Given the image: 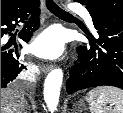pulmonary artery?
<instances>
[{"mask_svg": "<svg viewBox=\"0 0 123 113\" xmlns=\"http://www.w3.org/2000/svg\"><path fill=\"white\" fill-rule=\"evenodd\" d=\"M72 9L78 12L83 17V19L86 21L88 25L90 26L93 25L92 18L86 9L79 7L78 5H72Z\"/></svg>", "mask_w": 123, "mask_h": 113, "instance_id": "obj_1", "label": "pulmonary artery"}]
</instances>
